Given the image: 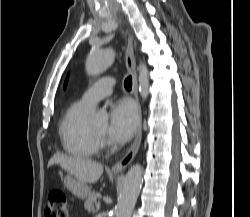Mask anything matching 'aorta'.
Listing matches in <instances>:
<instances>
[{"label":"aorta","instance_id":"1","mask_svg":"<svg viewBox=\"0 0 250 217\" xmlns=\"http://www.w3.org/2000/svg\"><path fill=\"white\" fill-rule=\"evenodd\" d=\"M114 51L107 49L92 52L86 59V70L89 75L96 76L104 72L114 60ZM139 92L142 97L148 96L149 77L145 63L141 62L139 67ZM94 119L105 121V113L99 111L94 115ZM143 183V170L140 165H134L125 176L123 188L121 190L115 214L116 217H131L133 208L139 196Z\"/></svg>","mask_w":250,"mask_h":217}]
</instances>
